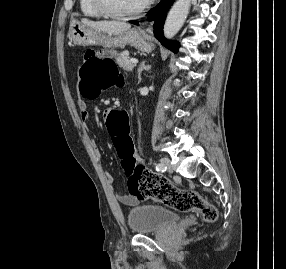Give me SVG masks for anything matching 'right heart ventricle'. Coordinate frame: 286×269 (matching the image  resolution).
Returning a JSON list of instances; mask_svg holds the SVG:
<instances>
[{"mask_svg": "<svg viewBox=\"0 0 286 269\" xmlns=\"http://www.w3.org/2000/svg\"><path fill=\"white\" fill-rule=\"evenodd\" d=\"M81 13L86 17L100 18L103 15L97 10L93 0H79Z\"/></svg>", "mask_w": 286, "mask_h": 269, "instance_id": "e07e8e85", "label": "right heart ventricle"}]
</instances>
